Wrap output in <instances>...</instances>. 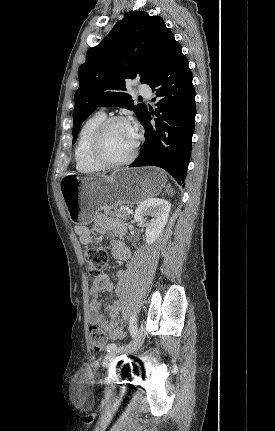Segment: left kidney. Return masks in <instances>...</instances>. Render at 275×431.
Returning a JSON list of instances; mask_svg holds the SVG:
<instances>
[{"mask_svg":"<svg viewBox=\"0 0 275 431\" xmlns=\"http://www.w3.org/2000/svg\"><path fill=\"white\" fill-rule=\"evenodd\" d=\"M171 205L167 200L160 198H149L142 202L135 210L136 222L144 223L146 216L152 219L146 224V243L151 245L161 234L167 224Z\"/></svg>","mask_w":275,"mask_h":431,"instance_id":"left-kidney-1","label":"left kidney"}]
</instances>
